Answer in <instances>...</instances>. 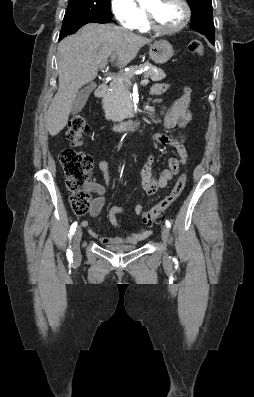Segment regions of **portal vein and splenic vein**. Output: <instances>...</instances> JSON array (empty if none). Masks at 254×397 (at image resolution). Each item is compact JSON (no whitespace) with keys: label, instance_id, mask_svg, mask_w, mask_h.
Listing matches in <instances>:
<instances>
[{"label":"portal vein and splenic vein","instance_id":"18ae733b","mask_svg":"<svg viewBox=\"0 0 254 397\" xmlns=\"http://www.w3.org/2000/svg\"><path fill=\"white\" fill-rule=\"evenodd\" d=\"M107 63H108L107 60L102 61V62L100 63V65H99V68H100V69H103V68L107 65ZM115 79H119V80H120L119 75H116L115 78H114V80H115ZM148 83H149V80H148V79H143V80L141 81V84H142V85H146V84H148Z\"/></svg>","mask_w":254,"mask_h":397}]
</instances>
